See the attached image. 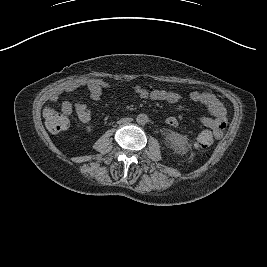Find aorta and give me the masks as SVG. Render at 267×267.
Segmentation results:
<instances>
[{
    "label": "aorta",
    "instance_id": "1",
    "mask_svg": "<svg viewBox=\"0 0 267 267\" xmlns=\"http://www.w3.org/2000/svg\"><path fill=\"white\" fill-rule=\"evenodd\" d=\"M136 121L140 125H144L148 122V116L145 114H139L136 118Z\"/></svg>",
    "mask_w": 267,
    "mask_h": 267
}]
</instances>
